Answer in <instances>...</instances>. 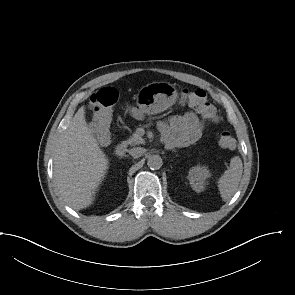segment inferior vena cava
Listing matches in <instances>:
<instances>
[{
	"mask_svg": "<svg viewBox=\"0 0 295 295\" xmlns=\"http://www.w3.org/2000/svg\"><path fill=\"white\" fill-rule=\"evenodd\" d=\"M143 153H144V150L141 147L132 148L129 150V154L134 158H138L142 156Z\"/></svg>",
	"mask_w": 295,
	"mask_h": 295,
	"instance_id": "obj_1",
	"label": "inferior vena cava"
}]
</instances>
